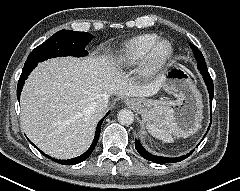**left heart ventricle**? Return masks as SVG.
<instances>
[{"label":"left heart ventricle","instance_id":"1","mask_svg":"<svg viewBox=\"0 0 240 191\" xmlns=\"http://www.w3.org/2000/svg\"><path fill=\"white\" fill-rule=\"evenodd\" d=\"M165 50V47H161L160 52H163Z\"/></svg>","mask_w":240,"mask_h":191}]
</instances>
